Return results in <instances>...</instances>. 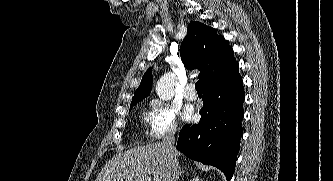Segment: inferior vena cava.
I'll use <instances>...</instances> for the list:
<instances>
[{"label": "inferior vena cava", "mask_w": 333, "mask_h": 181, "mask_svg": "<svg viewBox=\"0 0 333 181\" xmlns=\"http://www.w3.org/2000/svg\"><path fill=\"white\" fill-rule=\"evenodd\" d=\"M175 133H176V128H172L168 134L163 138V146L165 147V149L171 154V152L173 151V144L175 142ZM171 158H172V170L167 178V181H173V179L176 177L177 175V169L178 166L174 160L173 155L171 154Z\"/></svg>", "instance_id": "obj_1"}]
</instances>
